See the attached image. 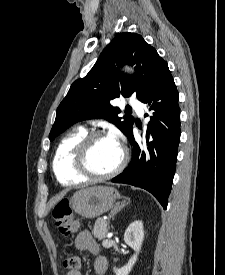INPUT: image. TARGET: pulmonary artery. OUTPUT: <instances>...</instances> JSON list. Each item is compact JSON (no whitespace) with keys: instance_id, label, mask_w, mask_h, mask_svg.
Masks as SVG:
<instances>
[{"instance_id":"obj_1","label":"pulmonary artery","mask_w":225,"mask_h":275,"mask_svg":"<svg viewBox=\"0 0 225 275\" xmlns=\"http://www.w3.org/2000/svg\"><path fill=\"white\" fill-rule=\"evenodd\" d=\"M128 104L131 107L135 108L138 111V113L142 115V113H143V105L139 101H137L134 98H130L128 100Z\"/></svg>"}]
</instances>
